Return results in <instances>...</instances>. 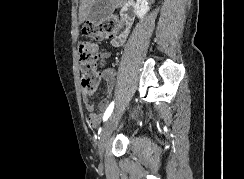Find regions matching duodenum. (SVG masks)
<instances>
[{
  "instance_id": "410a0bca",
  "label": "duodenum",
  "mask_w": 244,
  "mask_h": 179,
  "mask_svg": "<svg viewBox=\"0 0 244 179\" xmlns=\"http://www.w3.org/2000/svg\"><path fill=\"white\" fill-rule=\"evenodd\" d=\"M136 13V3L133 0H126L123 2L122 8L120 10L121 17L126 20L130 21L134 19Z\"/></svg>"
}]
</instances>
